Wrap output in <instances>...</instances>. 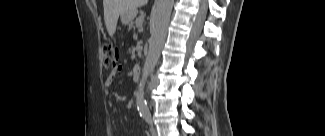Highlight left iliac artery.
<instances>
[{
	"mask_svg": "<svg viewBox=\"0 0 325 136\" xmlns=\"http://www.w3.org/2000/svg\"><path fill=\"white\" fill-rule=\"evenodd\" d=\"M143 118L149 123L152 124V120H151V114L150 113H144L143 114Z\"/></svg>",
	"mask_w": 325,
	"mask_h": 136,
	"instance_id": "obj_1",
	"label": "left iliac artery"
}]
</instances>
